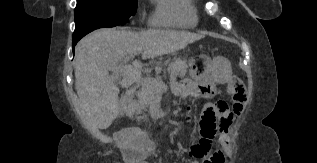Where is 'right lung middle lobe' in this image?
<instances>
[{"label": "right lung middle lobe", "mask_w": 317, "mask_h": 163, "mask_svg": "<svg viewBox=\"0 0 317 163\" xmlns=\"http://www.w3.org/2000/svg\"><path fill=\"white\" fill-rule=\"evenodd\" d=\"M136 8L137 0H77L73 39L98 28L124 25Z\"/></svg>", "instance_id": "right-lung-middle-lobe-1"}]
</instances>
